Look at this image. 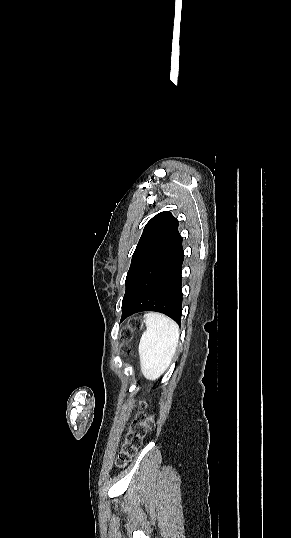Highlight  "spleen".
<instances>
[{"instance_id":"spleen-1","label":"spleen","mask_w":291,"mask_h":538,"mask_svg":"<svg viewBox=\"0 0 291 538\" xmlns=\"http://www.w3.org/2000/svg\"><path fill=\"white\" fill-rule=\"evenodd\" d=\"M138 351L141 370L149 380L157 379L170 365L179 342V327L170 318L159 313L145 316Z\"/></svg>"}]
</instances>
